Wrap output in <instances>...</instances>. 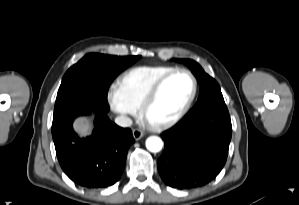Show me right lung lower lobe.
I'll list each match as a JSON object with an SVG mask.
<instances>
[{
    "mask_svg": "<svg viewBox=\"0 0 299 205\" xmlns=\"http://www.w3.org/2000/svg\"><path fill=\"white\" fill-rule=\"evenodd\" d=\"M95 128L91 136L79 138L73 121L91 114ZM107 103L80 102L53 118L52 136L61 168L76 184L105 188L115 184L125 167L127 150L135 141L129 128H121L107 117Z\"/></svg>",
    "mask_w": 299,
    "mask_h": 205,
    "instance_id": "1",
    "label": "right lung lower lobe"
}]
</instances>
